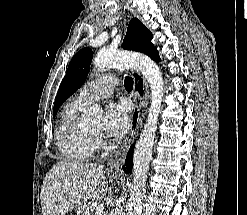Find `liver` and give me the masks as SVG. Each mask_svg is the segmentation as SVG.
Wrapping results in <instances>:
<instances>
[{
  "label": "liver",
  "instance_id": "obj_1",
  "mask_svg": "<svg viewBox=\"0 0 247 215\" xmlns=\"http://www.w3.org/2000/svg\"><path fill=\"white\" fill-rule=\"evenodd\" d=\"M107 187L102 166L58 162L44 178L41 189L43 215H65L90 200L98 201Z\"/></svg>",
  "mask_w": 247,
  "mask_h": 215
}]
</instances>
